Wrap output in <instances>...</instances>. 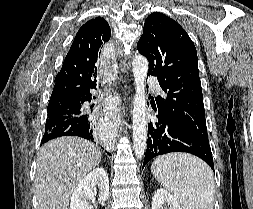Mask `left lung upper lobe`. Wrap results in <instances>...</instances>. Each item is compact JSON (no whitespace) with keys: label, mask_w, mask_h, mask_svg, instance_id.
I'll list each match as a JSON object with an SVG mask.
<instances>
[{"label":"left lung upper lobe","mask_w":253,"mask_h":209,"mask_svg":"<svg viewBox=\"0 0 253 209\" xmlns=\"http://www.w3.org/2000/svg\"><path fill=\"white\" fill-rule=\"evenodd\" d=\"M137 49L149 61L166 97L156 100L158 115L208 141L197 51L186 31L162 13L150 14Z\"/></svg>","instance_id":"1"}]
</instances>
